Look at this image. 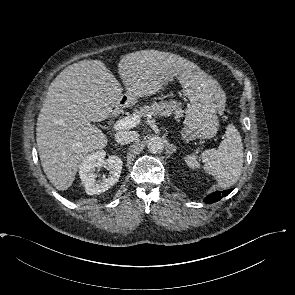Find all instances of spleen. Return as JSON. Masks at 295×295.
Wrapping results in <instances>:
<instances>
[{"label": "spleen", "instance_id": "spleen-1", "mask_svg": "<svg viewBox=\"0 0 295 295\" xmlns=\"http://www.w3.org/2000/svg\"><path fill=\"white\" fill-rule=\"evenodd\" d=\"M203 169L213 175L221 188H227L237 182L243 168V144L236 127L229 124L226 128L225 139L218 149H208L203 152ZM185 161L190 168H199L195 156L188 155Z\"/></svg>", "mask_w": 295, "mask_h": 295}]
</instances>
